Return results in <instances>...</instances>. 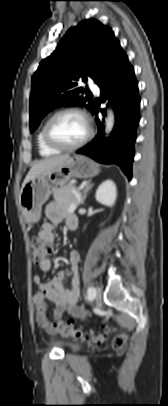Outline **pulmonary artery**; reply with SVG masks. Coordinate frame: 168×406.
Instances as JSON below:
<instances>
[{
  "label": "pulmonary artery",
  "mask_w": 168,
  "mask_h": 406,
  "mask_svg": "<svg viewBox=\"0 0 168 406\" xmlns=\"http://www.w3.org/2000/svg\"><path fill=\"white\" fill-rule=\"evenodd\" d=\"M89 88H90L94 93H98V92H99V88L97 87V85H96L93 81H90V82H89Z\"/></svg>",
  "instance_id": "1"
}]
</instances>
